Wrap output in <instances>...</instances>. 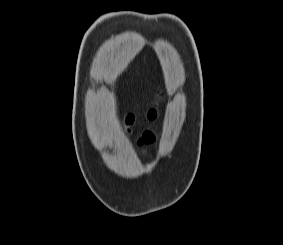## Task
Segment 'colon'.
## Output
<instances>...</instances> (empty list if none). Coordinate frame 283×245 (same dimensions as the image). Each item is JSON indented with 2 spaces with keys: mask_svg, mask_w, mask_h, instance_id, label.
I'll use <instances>...</instances> for the list:
<instances>
[{
  "mask_svg": "<svg viewBox=\"0 0 283 245\" xmlns=\"http://www.w3.org/2000/svg\"><path fill=\"white\" fill-rule=\"evenodd\" d=\"M155 117H156V111L154 109H151L147 114V118L149 120H153V119H155ZM125 123H126L127 127L132 126L133 123H134V116L133 115H127L126 118H125ZM154 138H155L154 134L151 131L146 130L139 137V142L140 143H149V142H152L154 140Z\"/></svg>",
  "mask_w": 283,
  "mask_h": 245,
  "instance_id": "1",
  "label": "colon"
}]
</instances>
